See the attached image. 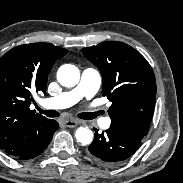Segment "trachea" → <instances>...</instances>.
Here are the masks:
<instances>
[{
	"instance_id": "obj_1",
	"label": "trachea",
	"mask_w": 183,
	"mask_h": 183,
	"mask_svg": "<svg viewBox=\"0 0 183 183\" xmlns=\"http://www.w3.org/2000/svg\"><path fill=\"white\" fill-rule=\"evenodd\" d=\"M37 110L41 113L46 115L47 117L54 118L58 117L60 115L59 112L55 110H42L39 107H37ZM100 113L99 112H92V113H79L77 116L84 120H92L96 118Z\"/></svg>"
}]
</instances>
